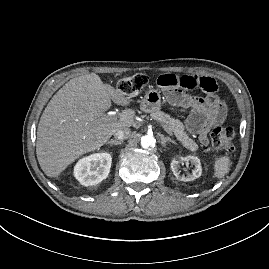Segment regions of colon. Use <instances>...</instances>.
Returning a JSON list of instances; mask_svg holds the SVG:
<instances>
[{
	"label": "colon",
	"instance_id": "1",
	"mask_svg": "<svg viewBox=\"0 0 269 269\" xmlns=\"http://www.w3.org/2000/svg\"><path fill=\"white\" fill-rule=\"evenodd\" d=\"M148 78L144 74H136L119 81L118 89L124 95L140 94L146 87ZM235 133L232 127L221 125L211 132V144L215 149L231 151L234 148Z\"/></svg>",
	"mask_w": 269,
	"mask_h": 269
}]
</instances>
